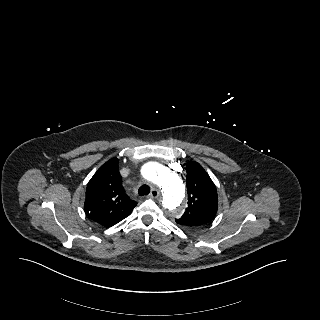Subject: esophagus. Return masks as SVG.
Returning <instances> with one entry per match:
<instances>
[{
  "label": "esophagus",
  "instance_id": "34e87169",
  "mask_svg": "<svg viewBox=\"0 0 320 320\" xmlns=\"http://www.w3.org/2000/svg\"><path fill=\"white\" fill-rule=\"evenodd\" d=\"M160 192L157 189H152L150 194H149V198H157L159 196Z\"/></svg>",
  "mask_w": 320,
  "mask_h": 320
}]
</instances>
